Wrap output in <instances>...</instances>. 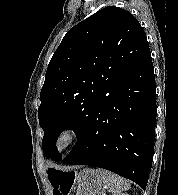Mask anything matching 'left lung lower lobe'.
Returning a JSON list of instances; mask_svg holds the SVG:
<instances>
[{
    "label": "left lung lower lobe",
    "mask_w": 178,
    "mask_h": 195,
    "mask_svg": "<svg viewBox=\"0 0 178 195\" xmlns=\"http://www.w3.org/2000/svg\"><path fill=\"white\" fill-rule=\"evenodd\" d=\"M156 84L151 54L100 104L63 162L110 170L146 188L152 166Z\"/></svg>",
    "instance_id": "1"
}]
</instances>
